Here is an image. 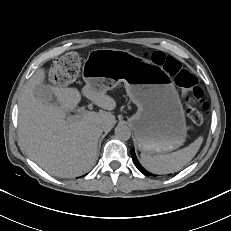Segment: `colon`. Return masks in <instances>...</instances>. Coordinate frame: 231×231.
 I'll use <instances>...</instances> for the list:
<instances>
[{"label":"colon","mask_w":231,"mask_h":231,"mask_svg":"<svg viewBox=\"0 0 231 231\" xmlns=\"http://www.w3.org/2000/svg\"><path fill=\"white\" fill-rule=\"evenodd\" d=\"M152 60L173 76L176 84L183 90V100L187 106L186 116L189 123L201 124L208 112L209 104L194 74L184 69L175 58L162 52L153 53ZM80 64V58L76 53H67L53 62L49 70V77L55 83L71 82L77 76Z\"/></svg>","instance_id":"colon-1"}]
</instances>
